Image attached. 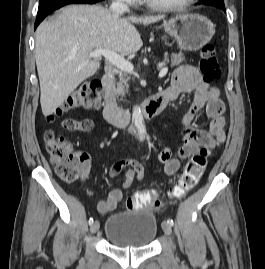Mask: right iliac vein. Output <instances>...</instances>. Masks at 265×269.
<instances>
[{
	"label": "right iliac vein",
	"mask_w": 265,
	"mask_h": 269,
	"mask_svg": "<svg viewBox=\"0 0 265 269\" xmlns=\"http://www.w3.org/2000/svg\"><path fill=\"white\" fill-rule=\"evenodd\" d=\"M98 229H99V222L98 221L93 222V224L90 227L91 233L97 232Z\"/></svg>",
	"instance_id": "1"
}]
</instances>
